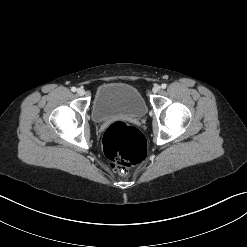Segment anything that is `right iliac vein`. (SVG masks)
<instances>
[{"label":"right iliac vein","instance_id":"obj_1","mask_svg":"<svg viewBox=\"0 0 247 247\" xmlns=\"http://www.w3.org/2000/svg\"><path fill=\"white\" fill-rule=\"evenodd\" d=\"M77 94L80 96H83L85 94V90L83 88H78L77 89Z\"/></svg>","mask_w":247,"mask_h":247}]
</instances>
